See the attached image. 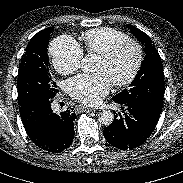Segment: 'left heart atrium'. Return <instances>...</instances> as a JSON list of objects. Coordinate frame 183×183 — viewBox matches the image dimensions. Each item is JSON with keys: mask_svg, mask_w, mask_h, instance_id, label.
<instances>
[{"mask_svg": "<svg viewBox=\"0 0 183 183\" xmlns=\"http://www.w3.org/2000/svg\"><path fill=\"white\" fill-rule=\"evenodd\" d=\"M111 83L104 72L81 74L68 81L67 91L86 105H96L107 95Z\"/></svg>", "mask_w": 183, "mask_h": 183, "instance_id": "left-heart-atrium-1", "label": "left heart atrium"}]
</instances>
